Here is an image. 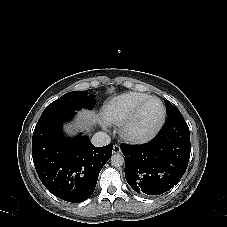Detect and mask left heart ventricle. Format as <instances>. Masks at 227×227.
I'll return each instance as SVG.
<instances>
[{"label": "left heart ventricle", "instance_id": "obj_1", "mask_svg": "<svg viewBox=\"0 0 227 227\" xmlns=\"http://www.w3.org/2000/svg\"><path fill=\"white\" fill-rule=\"evenodd\" d=\"M162 107L157 101L150 102L141 113L136 122L135 129L137 132H146L151 129L160 119Z\"/></svg>", "mask_w": 227, "mask_h": 227}]
</instances>
